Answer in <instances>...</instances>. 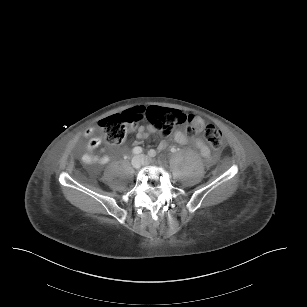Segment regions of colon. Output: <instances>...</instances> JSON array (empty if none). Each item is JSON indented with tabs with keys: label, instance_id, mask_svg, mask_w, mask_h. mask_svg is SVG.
I'll list each match as a JSON object with an SVG mask.
<instances>
[{
	"label": "colon",
	"instance_id": "5ec220e1",
	"mask_svg": "<svg viewBox=\"0 0 307 307\" xmlns=\"http://www.w3.org/2000/svg\"><path fill=\"white\" fill-rule=\"evenodd\" d=\"M125 116H138L140 120L152 125L163 136H169L177 126L187 125V132L190 134L203 131L204 138L214 150L223 148L222 133L215 125H204L192 114L164 108L162 111H148V109L147 111H131L129 108L124 114H116L100 120L98 130L108 144L119 145L125 140L127 124H130L124 122Z\"/></svg>",
	"mask_w": 307,
	"mask_h": 307
}]
</instances>
